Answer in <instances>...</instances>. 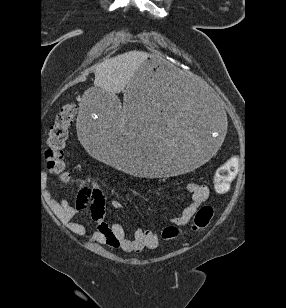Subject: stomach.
Listing matches in <instances>:
<instances>
[{
  "label": "stomach",
  "instance_id": "obj_1",
  "mask_svg": "<svg viewBox=\"0 0 286 308\" xmlns=\"http://www.w3.org/2000/svg\"><path fill=\"white\" fill-rule=\"evenodd\" d=\"M220 107L214 91L187 81L180 65L153 55L139 60L124 103L98 85L83 89L75 124L96 161L162 182L209 164L219 144H226V112Z\"/></svg>",
  "mask_w": 286,
  "mask_h": 308
}]
</instances>
